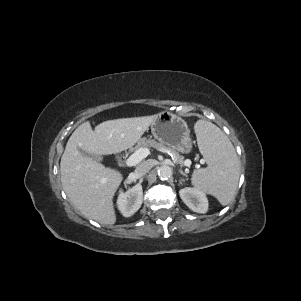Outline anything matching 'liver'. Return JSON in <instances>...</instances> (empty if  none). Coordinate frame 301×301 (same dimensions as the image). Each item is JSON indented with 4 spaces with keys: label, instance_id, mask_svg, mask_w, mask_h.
<instances>
[{
    "label": "liver",
    "instance_id": "1",
    "mask_svg": "<svg viewBox=\"0 0 301 301\" xmlns=\"http://www.w3.org/2000/svg\"><path fill=\"white\" fill-rule=\"evenodd\" d=\"M155 118L156 115L108 120L95 130L85 122L72 133L61 157V183L70 201L85 217L105 225L116 222L113 197L123 176L83 156L80 149L99 156L127 150L141 139Z\"/></svg>",
    "mask_w": 301,
    "mask_h": 301
}]
</instances>
